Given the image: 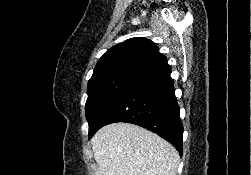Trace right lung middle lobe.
Segmentation results:
<instances>
[{
    "mask_svg": "<svg viewBox=\"0 0 251 175\" xmlns=\"http://www.w3.org/2000/svg\"><path fill=\"white\" fill-rule=\"evenodd\" d=\"M139 79L132 76H115L88 83L85 114L89 124V139L98 130L99 122L110 105Z\"/></svg>",
    "mask_w": 251,
    "mask_h": 175,
    "instance_id": "dd1d6c3e",
    "label": "right lung middle lobe"
}]
</instances>
